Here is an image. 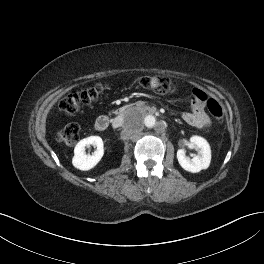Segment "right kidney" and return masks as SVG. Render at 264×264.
<instances>
[{"label":"right kidney","mask_w":264,"mask_h":264,"mask_svg":"<svg viewBox=\"0 0 264 264\" xmlns=\"http://www.w3.org/2000/svg\"><path fill=\"white\" fill-rule=\"evenodd\" d=\"M90 145L96 147L95 152L92 155H87L85 150ZM104 144L99 136H90L80 140L74 149V157L72 158V164L75 168L88 171L95 167L104 155Z\"/></svg>","instance_id":"1"}]
</instances>
